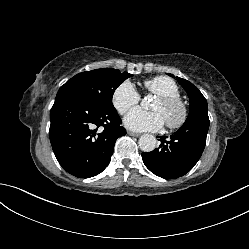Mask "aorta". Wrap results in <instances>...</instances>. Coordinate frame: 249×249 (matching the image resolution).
Masks as SVG:
<instances>
[{
    "instance_id": "obj_1",
    "label": "aorta",
    "mask_w": 249,
    "mask_h": 249,
    "mask_svg": "<svg viewBox=\"0 0 249 249\" xmlns=\"http://www.w3.org/2000/svg\"><path fill=\"white\" fill-rule=\"evenodd\" d=\"M139 147L144 152H151L156 148L157 140L151 134H144L139 138Z\"/></svg>"
}]
</instances>
